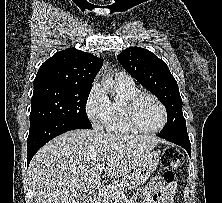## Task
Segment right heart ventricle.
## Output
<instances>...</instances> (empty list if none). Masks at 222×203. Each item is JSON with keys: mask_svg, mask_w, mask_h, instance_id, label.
<instances>
[{"mask_svg": "<svg viewBox=\"0 0 222 203\" xmlns=\"http://www.w3.org/2000/svg\"><path fill=\"white\" fill-rule=\"evenodd\" d=\"M117 94L110 101V114L106 124L109 132L119 134H131L137 131L133 129L127 122L124 103L127 98L139 92L135 84H124L117 81Z\"/></svg>", "mask_w": 222, "mask_h": 203, "instance_id": "1", "label": "right heart ventricle"}]
</instances>
